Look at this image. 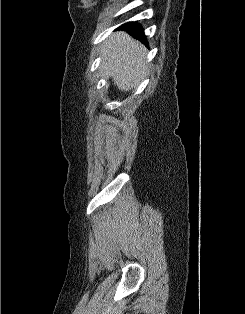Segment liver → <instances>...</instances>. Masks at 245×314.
I'll use <instances>...</instances> for the list:
<instances>
[{
  "label": "liver",
  "instance_id": "1",
  "mask_svg": "<svg viewBox=\"0 0 245 314\" xmlns=\"http://www.w3.org/2000/svg\"><path fill=\"white\" fill-rule=\"evenodd\" d=\"M147 50L123 31L112 34L100 47L101 67L121 91L135 88L148 72Z\"/></svg>",
  "mask_w": 245,
  "mask_h": 314
}]
</instances>
